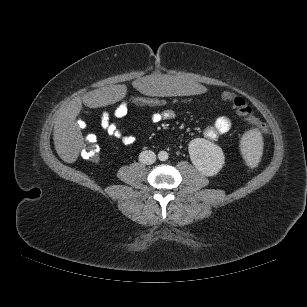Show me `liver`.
<instances>
[{"label":"liver","mask_w":307,"mask_h":307,"mask_svg":"<svg viewBox=\"0 0 307 307\" xmlns=\"http://www.w3.org/2000/svg\"><path fill=\"white\" fill-rule=\"evenodd\" d=\"M133 87L135 91L151 99L163 96L201 95L207 86L201 80H180L170 75H151L148 78H136ZM126 94L125 85H116L108 88L90 91L82 97H75L56 117L53 140L57 154L66 163L77 160L84 141L81 130L76 123V117L82 109V103L90 108H98L113 104L122 99Z\"/></svg>","instance_id":"6515ba94"}]
</instances>
